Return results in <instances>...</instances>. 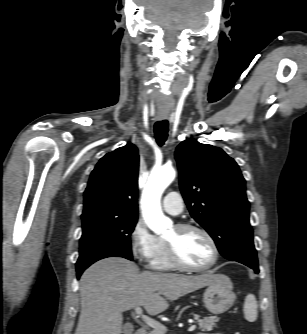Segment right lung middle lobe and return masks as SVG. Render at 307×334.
<instances>
[{"mask_svg":"<svg viewBox=\"0 0 307 334\" xmlns=\"http://www.w3.org/2000/svg\"><path fill=\"white\" fill-rule=\"evenodd\" d=\"M137 218L88 216L82 217L83 234L77 271H84L92 263L106 257L132 260L130 234Z\"/></svg>","mask_w":307,"mask_h":334,"instance_id":"right-lung-middle-lobe-1","label":"right lung middle lobe"}]
</instances>
